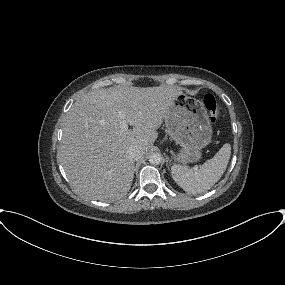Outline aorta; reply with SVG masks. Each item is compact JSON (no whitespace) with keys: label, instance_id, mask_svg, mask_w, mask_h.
Masks as SVG:
<instances>
[{"label":"aorta","instance_id":"1","mask_svg":"<svg viewBox=\"0 0 285 285\" xmlns=\"http://www.w3.org/2000/svg\"><path fill=\"white\" fill-rule=\"evenodd\" d=\"M149 162L152 165H159L162 162V156L160 153H152L149 155Z\"/></svg>","mask_w":285,"mask_h":285}]
</instances>
